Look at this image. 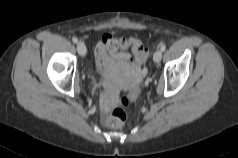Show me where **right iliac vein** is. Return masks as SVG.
<instances>
[{
  "mask_svg": "<svg viewBox=\"0 0 238 158\" xmlns=\"http://www.w3.org/2000/svg\"><path fill=\"white\" fill-rule=\"evenodd\" d=\"M77 51L81 56H85L87 53L86 46L83 42L77 43Z\"/></svg>",
  "mask_w": 238,
  "mask_h": 158,
  "instance_id": "63e3f726",
  "label": "right iliac vein"
}]
</instances>
